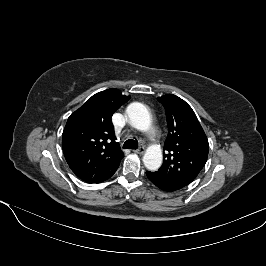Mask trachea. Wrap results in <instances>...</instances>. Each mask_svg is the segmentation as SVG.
<instances>
[{
  "mask_svg": "<svg viewBox=\"0 0 266 266\" xmlns=\"http://www.w3.org/2000/svg\"><path fill=\"white\" fill-rule=\"evenodd\" d=\"M137 148H138V143L133 139L127 140L123 145V149H137Z\"/></svg>",
  "mask_w": 266,
  "mask_h": 266,
  "instance_id": "1",
  "label": "trachea"
}]
</instances>
